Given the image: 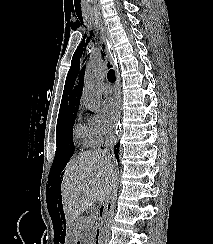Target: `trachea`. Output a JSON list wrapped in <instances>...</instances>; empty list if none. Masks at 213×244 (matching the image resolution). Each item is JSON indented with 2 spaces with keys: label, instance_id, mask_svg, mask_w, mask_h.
<instances>
[{
  "label": "trachea",
  "instance_id": "obj_1",
  "mask_svg": "<svg viewBox=\"0 0 213 244\" xmlns=\"http://www.w3.org/2000/svg\"><path fill=\"white\" fill-rule=\"evenodd\" d=\"M107 78L108 80L111 82V83H114L115 80H116V77H115V72L113 69H110L109 72L107 73Z\"/></svg>",
  "mask_w": 213,
  "mask_h": 244
}]
</instances>
